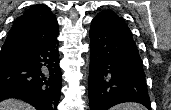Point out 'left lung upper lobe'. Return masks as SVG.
<instances>
[{"instance_id": "obj_1", "label": "left lung upper lobe", "mask_w": 171, "mask_h": 110, "mask_svg": "<svg viewBox=\"0 0 171 110\" xmlns=\"http://www.w3.org/2000/svg\"><path fill=\"white\" fill-rule=\"evenodd\" d=\"M98 17L105 18L107 19L110 23H112L120 32L124 33L125 35L129 36L132 38V33L124 20L120 18L116 13L110 11V10H105L100 12Z\"/></svg>"}]
</instances>
